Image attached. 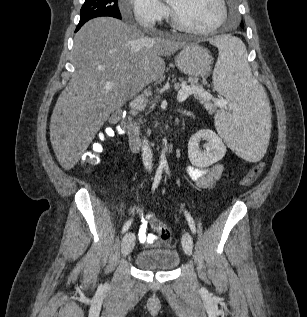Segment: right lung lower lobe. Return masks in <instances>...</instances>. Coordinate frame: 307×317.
I'll list each match as a JSON object with an SVG mask.
<instances>
[{"mask_svg":"<svg viewBox=\"0 0 307 317\" xmlns=\"http://www.w3.org/2000/svg\"><path fill=\"white\" fill-rule=\"evenodd\" d=\"M82 25H83V24L79 23L78 26H77V28H76V31L79 30Z\"/></svg>","mask_w":307,"mask_h":317,"instance_id":"98d812e1","label":"right lung lower lobe"}]
</instances>
